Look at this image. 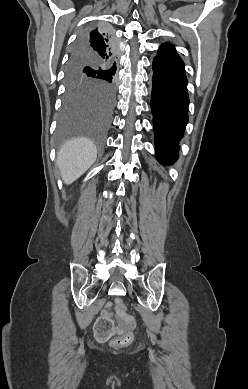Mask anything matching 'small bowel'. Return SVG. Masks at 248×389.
Listing matches in <instances>:
<instances>
[{"instance_id": "c3829d8e", "label": "small bowel", "mask_w": 248, "mask_h": 389, "mask_svg": "<svg viewBox=\"0 0 248 389\" xmlns=\"http://www.w3.org/2000/svg\"><path fill=\"white\" fill-rule=\"evenodd\" d=\"M111 308H112V304L109 302L107 305H106V309L102 311V314L103 316L105 317H110L111 316ZM121 326H126L127 328H133L134 326V321L132 319H128L127 321H125L124 323H121ZM121 331V330H119Z\"/></svg>"}]
</instances>
